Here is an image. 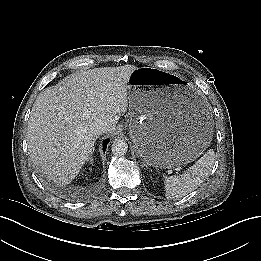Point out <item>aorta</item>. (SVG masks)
Masks as SVG:
<instances>
[{
	"label": "aorta",
	"instance_id": "1",
	"mask_svg": "<svg viewBox=\"0 0 261 261\" xmlns=\"http://www.w3.org/2000/svg\"><path fill=\"white\" fill-rule=\"evenodd\" d=\"M111 150H112V153L115 155V156H123L127 153V150H128V144L126 141L124 140H115L111 146Z\"/></svg>",
	"mask_w": 261,
	"mask_h": 261
}]
</instances>
